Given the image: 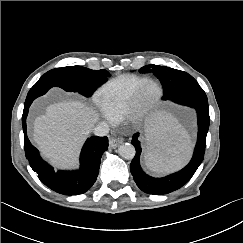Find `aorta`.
I'll use <instances>...</instances> for the list:
<instances>
[{"label": "aorta", "instance_id": "aorta-1", "mask_svg": "<svg viewBox=\"0 0 243 243\" xmlns=\"http://www.w3.org/2000/svg\"><path fill=\"white\" fill-rule=\"evenodd\" d=\"M118 153L122 158L131 160L134 158L136 151L132 144L125 143L119 146Z\"/></svg>", "mask_w": 243, "mask_h": 243}]
</instances>
